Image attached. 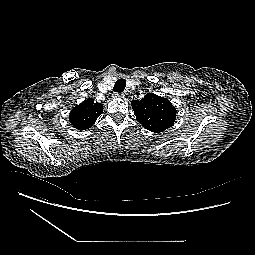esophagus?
I'll use <instances>...</instances> for the list:
<instances>
[{
	"label": "esophagus",
	"mask_w": 255,
	"mask_h": 255,
	"mask_svg": "<svg viewBox=\"0 0 255 255\" xmlns=\"http://www.w3.org/2000/svg\"><path fill=\"white\" fill-rule=\"evenodd\" d=\"M116 97L123 99L125 97L124 93H116Z\"/></svg>",
	"instance_id": "1"
}]
</instances>
